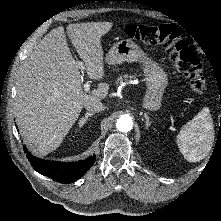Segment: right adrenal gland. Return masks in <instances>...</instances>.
Returning a JSON list of instances; mask_svg holds the SVG:
<instances>
[{"label":"right adrenal gland","instance_id":"2a0ac1e0","mask_svg":"<svg viewBox=\"0 0 221 221\" xmlns=\"http://www.w3.org/2000/svg\"><path fill=\"white\" fill-rule=\"evenodd\" d=\"M94 114H95V113H93V112H87V113L85 114V116L82 117V118L79 120V128H82L83 125L87 122L88 118H89L90 116L94 115Z\"/></svg>","mask_w":221,"mask_h":221}]
</instances>
